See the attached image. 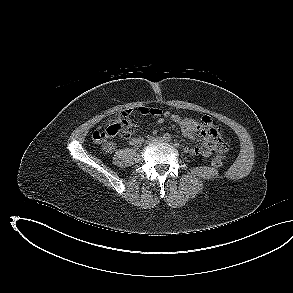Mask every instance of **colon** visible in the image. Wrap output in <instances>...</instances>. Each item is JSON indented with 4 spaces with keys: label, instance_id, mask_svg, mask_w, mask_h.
I'll return each instance as SVG.
<instances>
[{
    "label": "colon",
    "instance_id": "colon-1",
    "mask_svg": "<svg viewBox=\"0 0 293 293\" xmlns=\"http://www.w3.org/2000/svg\"><path fill=\"white\" fill-rule=\"evenodd\" d=\"M136 129L137 122L128 114L120 113L110 117L104 128L95 130L93 138L98 142H102L117 135L128 137L131 136ZM212 165L220 168L223 166V162L220 158L215 157L212 159Z\"/></svg>",
    "mask_w": 293,
    "mask_h": 293
}]
</instances>
